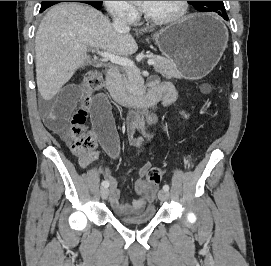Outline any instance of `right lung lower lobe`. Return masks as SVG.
Here are the masks:
<instances>
[{
	"instance_id": "right-lung-lower-lobe-1",
	"label": "right lung lower lobe",
	"mask_w": 271,
	"mask_h": 266,
	"mask_svg": "<svg viewBox=\"0 0 271 266\" xmlns=\"http://www.w3.org/2000/svg\"><path fill=\"white\" fill-rule=\"evenodd\" d=\"M76 2H83V3H87L89 5H92L93 7L99 9L100 7L98 5H95V4H92V3H89V2H84V1H76ZM45 9H40V12H43Z\"/></svg>"
}]
</instances>
